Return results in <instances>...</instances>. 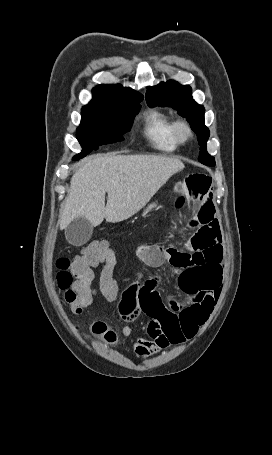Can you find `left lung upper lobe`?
<instances>
[{
  "instance_id": "obj_1",
  "label": "left lung upper lobe",
  "mask_w": 272,
  "mask_h": 455,
  "mask_svg": "<svg viewBox=\"0 0 272 455\" xmlns=\"http://www.w3.org/2000/svg\"><path fill=\"white\" fill-rule=\"evenodd\" d=\"M146 100L150 107H172L178 113L187 118L192 130L197 134L200 145V155L198 160L208 166H214V157L210 156L206 150V142L209 138V129L204 124L205 109L197 104L192 97V89L188 85H181L176 81L170 80L166 83L149 87L146 93Z\"/></svg>"
}]
</instances>
